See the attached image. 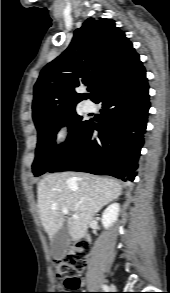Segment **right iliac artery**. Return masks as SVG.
Segmentation results:
<instances>
[{
    "instance_id": "82829eb1",
    "label": "right iliac artery",
    "mask_w": 170,
    "mask_h": 293,
    "mask_svg": "<svg viewBox=\"0 0 170 293\" xmlns=\"http://www.w3.org/2000/svg\"><path fill=\"white\" fill-rule=\"evenodd\" d=\"M102 289H103L104 292L109 291V287L107 285H102Z\"/></svg>"
}]
</instances>
